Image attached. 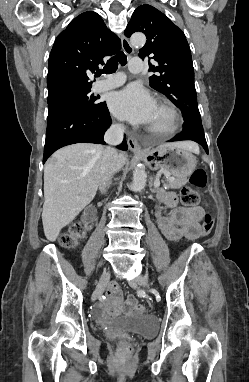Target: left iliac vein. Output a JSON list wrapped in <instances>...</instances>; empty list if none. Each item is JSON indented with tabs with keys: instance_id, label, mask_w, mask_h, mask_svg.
Here are the masks:
<instances>
[{
	"instance_id": "left-iliac-vein-1",
	"label": "left iliac vein",
	"mask_w": 249,
	"mask_h": 382,
	"mask_svg": "<svg viewBox=\"0 0 249 382\" xmlns=\"http://www.w3.org/2000/svg\"><path fill=\"white\" fill-rule=\"evenodd\" d=\"M133 282H137L142 287H146V288L149 287L148 279H147V277H145L143 275H141L137 279L131 281V283H133Z\"/></svg>"
}]
</instances>
